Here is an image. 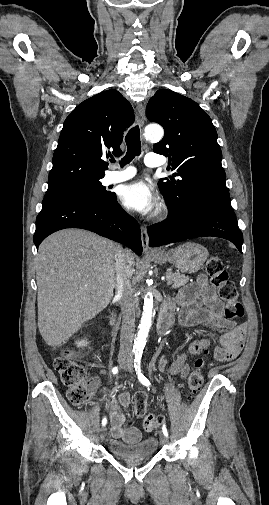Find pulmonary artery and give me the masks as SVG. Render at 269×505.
Wrapping results in <instances>:
<instances>
[{"label": "pulmonary artery", "mask_w": 269, "mask_h": 505, "mask_svg": "<svg viewBox=\"0 0 269 505\" xmlns=\"http://www.w3.org/2000/svg\"><path fill=\"white\" fill-rule=\"evenodd\" d=\"M163 160L160 156L154 153H149L145 157V164L148 167H157L163 165ZM135 175V169L132 167H125L122 170L111 171L106 176V182L108 184H114L126 181Z\"/></svg>", "instance_id": "1"}]
</instances>
